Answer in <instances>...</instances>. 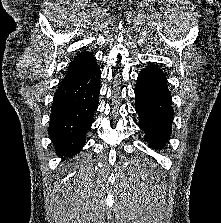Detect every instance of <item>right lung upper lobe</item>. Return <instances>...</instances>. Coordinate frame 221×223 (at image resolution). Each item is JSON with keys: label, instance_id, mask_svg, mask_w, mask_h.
I'll return each instance as SVG.
<instances>
[{"label": "right lung upper lobe", "instance_id": "obj_1", "mask_svg": "<svg viewBox=\"0 0 221 223\" xmlns=\"http://www.w3.org/2000/svg\"><path fill=\"white\" fill-rule=\"evenodd\" d=\"M96 65L95 57L89 52H82L78 54L71 62L68 72L62 83L73 80L84 73H87L91 68Z\"/></svg>", "mask_w": 221, "mask_h": 223}]
</instances>
